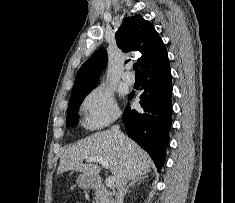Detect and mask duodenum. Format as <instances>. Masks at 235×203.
<instances>
[{"mask_svg": "<svg viewBox=\"0 0 235 203\" xmlns=\"http://www.w3.org/2000/svg\"><path fill=\"white\" fill-rule=\"evenodd\" d=\"M94 182H95V183H99V181H98V180H95Z\"/></svg>", "mask_w": 235, "mask_h": 203, "instance_id": "410a0bca", "label": "duodenum"}]
</instances>
